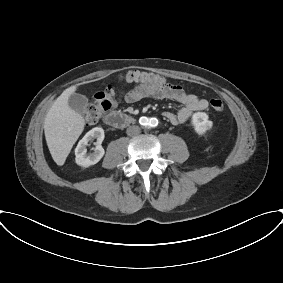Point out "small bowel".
<instances>
[{
	"label": "small bowel",
	"instance_id": "1",
	"mask_svg": "<svg viewBox=\"0 0 283 283\" xmlns=\"http://www.w3.org/2000/svg\"><path fill=\"white\" fill-rule=\"evenodd\" d=\"M111 101V108L117 107L119 101L126 103H135L151 95L157 99H170L177 101L182 107L177 112L165 111L163 116L173 125L185 123L196 111L205 110L208 107V101L195 94L187 93L181 86L174 84H165L163 87L154 90H146L136 85L129 91L117 94L113 88L106 91Z\"/></svg>",
	"mask_w": 283,
	"mask_h": 283
}]
</instances>
